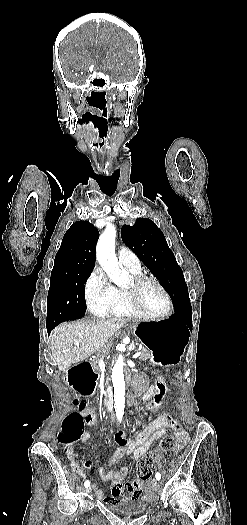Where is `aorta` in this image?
I'll use <instances>...</instances> for the list:
<instances>
[{
  "instance_id": "obj_1",
  "label": "aorta",
  "mask_w": 247,
  "mask_h": 525,
  "mask_svg": "<svg viewBox=\"0 0 247 525\" xmlns=\"http://www.w3.org/2000/svg\"><path fill=\"white\" fill-rule=\"evenodd\" d=\"M115 237L116 229L113 225H108L100 235L96 246V256L99 264L106 272L112 282L119 287H124L128 283V276L124 269L119 266L115 255ZM120 349L124 348L123 344L118 345ZM124 359L120 354L116 359L112 369V382L114 386L115 412L119 420L124 415L125 408V381H124Z\"/></svg>"
}]
</instances>
